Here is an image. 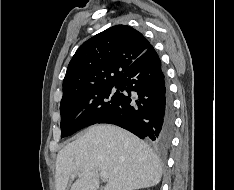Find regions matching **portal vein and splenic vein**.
I'll return each instance as SVG.
<instances>
[{
    "mask_svg": "<svg viewBox=\"0 0 234 190\" xmlns=\"http://www.w3.org/2000/svg\"><path fill=\"white\" fill-rule=\"evenodd\" d=\"M100 175H101L102 179H104V180H107L109 178L108 173L105 171L100 172Z\"/></svg>",
    "mask_w": 234,
    "mask_h": 190,
    "instance_id": "1",
    "label": "portal vein and splenic vein"
}]
</instances>
